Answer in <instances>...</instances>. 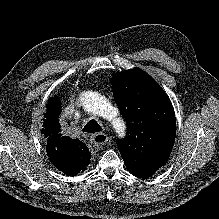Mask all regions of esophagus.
Returning <instances> with one entry per match:
<instances>
[{
  "label": "esophagus",
  "mask_w": 219,
  "mask_h": 219,
  "mask_svg": "<svg viewBox=\"0 0 219 219\" xmlns=\"http://www.w3.org/2000/svg\"><path fill=\"white\" fill-rule=\"evenodd\" d=\"M108 141V136L105 133H97L92 138V143L97 148H101Z\"/></svg>",
  "instance_id": "1"
}]
</instances>
